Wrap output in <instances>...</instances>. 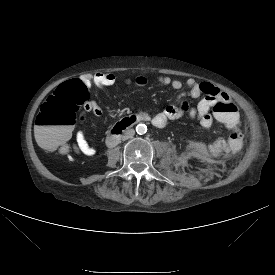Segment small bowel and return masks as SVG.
Returning <instances> with one entry per match:
<instances>
[{
	"label": "small bowel",
	"mask_w": 275,
	"mask_h": 275,
	"mask_svg": "<svg viewBox=\"0 0 275 275\" xmlns=\"http://www.w3.org/2000/svg\"><path fill=\"white\" fill-rule=\"evenodd\" d=\"M82 81L87 86L103 87L114 83L115 77L111 73H97L94 75H85L82 77ZM158 82L164 86H170L175 90H181L183 83L171 78L167 75H161L158 77ZM187 90L181 91L177 99L185 97L199 98L202 97L195 105H190L188 102H183L180 105H170L160 112L151 115L145 111H139L137 115H142L145 121H150L155 127L163 128L170 120L178 119L184 115H187L191 119L197 121L198 125L203 129L210 128L214 120L216 119L215 113L212 109L215 107L218 101L228 100L229 96L216 88L208 82H198L195 79H188L186 81ZM85 109L92 112L95 116L100 117L102 110L95 103H89ZM77 148L85 155L92 156L95 154V148L88 142L83 131H78L76 135ZM244 142L240 136V125L231 130V133L219 134L208 142L206 149L208 153L212 155H218L221 157H230L242 151Z\"/></svg>",
	"instance_id": "1"
}]
</instances>
